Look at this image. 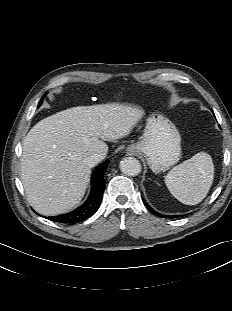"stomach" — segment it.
Segmentation results:
<instances>
[{
  "mask_svg": "<svg viewBox=\"0 0 232 311\" xmlns=\"http://www.w3.org/2000/svg\"><path fill=\"white\" fill-rule=\"evenodd\" d=\"M126 150L142 154L153 172H161L180 160L181 136L168 118L155 113L147 119L142 139Z\"/></svg>",
  "mask_w": 232,
  "mask_h": 311,
  "instance_id": "obj_1",
  "label": "stomach"
}]
</instances>
